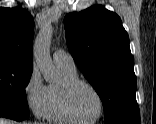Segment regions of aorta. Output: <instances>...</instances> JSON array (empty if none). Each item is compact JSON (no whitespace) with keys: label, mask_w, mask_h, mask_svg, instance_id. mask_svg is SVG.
Returning a JSON list of instances; mask_svg holds the SVG:
<instances>
[{"label":"aorta","mask_w":156,"mask_h":124,"mask_svg":"<svg viewBox=\"0 0 156 124\" xmlns=\"http://www.w3.org/2000/svg\"><path fill=\"white\" fill-rule=\"evenodd\" d=\"M52 26L47 24L39 32L34 42V60L40 68L44 79L51 82L55 78V71L53 68L50 56V43L52 38Z\"/></svg>","instance_id":"obj_1"}]
</instances>
